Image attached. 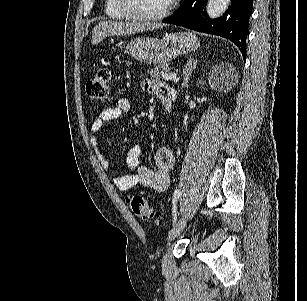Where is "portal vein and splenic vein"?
Here are the masks:
<instances>
[{
  "label": "portal vein and splenic vein",
  "mask_w": 307,
  "mask_h": 301,
  "mask_svg": "<svg viewBox=\"0 0 307 301\" xmlns=\"http://www.w3.org/2000/svg\"><path fill=\"white\" fill-rule=\"evenodd\" d=\"M164 78H167V80H174V82H178V78H176V72H164L163 74Z\"/></svg>",
  "instance_id": "portal-vein-and-splenic-vein-1"
}]
</instances>
